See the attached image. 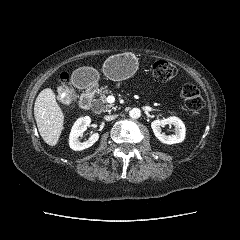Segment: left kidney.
<instances>
[{
	"label": "left kidney",
	"mask_w": 240,
	"mask_h": 240,
	"mask_svg": "<svg viewBox=\"0 0 240 240\" xmlns=\"http://www.w3.org/2000/svg\"><path fill=\"white\" fill-rule=\"evenodd\" d=\"M167 124L175 127V134L165 135L162 133L161 127H164ZM151 128L155 136L165 144L180 143L185 138V125L178 117L175 116H171L163 120H155L151 123Z\"/></svg>",
	"instance_id": "obj_1"
}]
</instances>
